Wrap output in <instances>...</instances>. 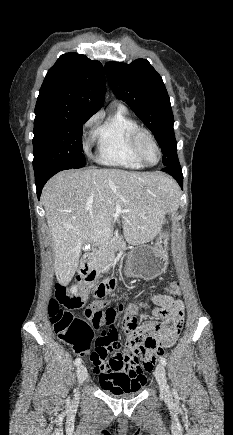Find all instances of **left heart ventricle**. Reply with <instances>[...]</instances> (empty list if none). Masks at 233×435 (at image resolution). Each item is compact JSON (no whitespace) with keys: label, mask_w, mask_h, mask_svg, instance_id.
Here are the masks:
<instances>
[{"label":"left heart ventricle","mask_w":233,"mask_h":435,"mask_svg":"<svg viewBox=\"0 0 233 435\" xmlns=\"http://www.w3.org/2000/svg\"><path fill=\"white\" fill-rule=\"evenodd\" d=\"M142 146H143V152L146 160L151 164L156 163L158 160V153L156 148L152 145V143L144 139L142 141Z\"/></svg>","instance_id":"1"}]
</instances>
